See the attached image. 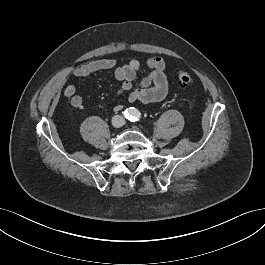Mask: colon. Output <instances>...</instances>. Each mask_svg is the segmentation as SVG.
I'll return each instance as SVG.
<instances>
[{
	"instance_id": "obj_1",
	"label": "colon",
	"mask_w": 265,
	"mask_h": 265,
	"mask_svg": "<svg viewBox=\"0 0 265 265\" xmlns=\"http://www.w3.org/2000/svg\"><path fill=\"white\" fill-rule=\"evenodd\" d=\"M178 82L181 87H188L192 84L191 76L184 71L178 72Z\"/></svg>"
}]
</instances>
